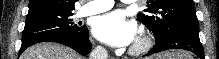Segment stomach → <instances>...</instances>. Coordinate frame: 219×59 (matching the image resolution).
<instances>
[{"instance_id": "obj_1", "label": "stomach", "mask_w": 219, "mask_h": 59, "mask_svg": "<svg viewBox=\"0 0 219 59\" xmlns=\"http://www.w3.org/2000/svg\"><path fill=\"white\" fill-rule=\"evenodd\" d=\"M174 54H164V55H160L158 58L159 59H161V58H163V59H166V58H168V59H170V57H172Z\"/></svg>"}]
</instances>
